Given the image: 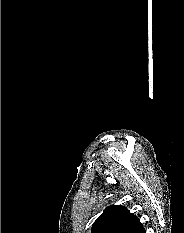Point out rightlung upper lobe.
<instances>
[{
    "label": "right lung upper lobe",
    "instance_id": "cb5924a9",
    "mask_svg": "<svg viewBox=\"0 0 184 233\" xmlns=\"http://www.w3.org/2000/svg\"><path fill=\"white\" fill-rule=\"evenodd\" d=\"M141 227L139 219L127 208L111 205L96 219L91 233H137Z\"/></svg>",
    "mask_w": 184,
    "mask_h": 233
}]
</instances>
